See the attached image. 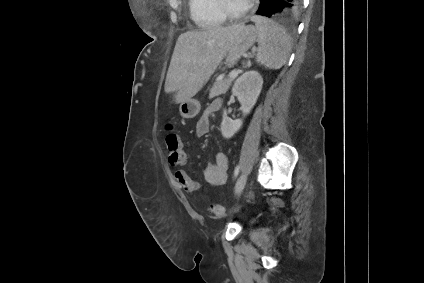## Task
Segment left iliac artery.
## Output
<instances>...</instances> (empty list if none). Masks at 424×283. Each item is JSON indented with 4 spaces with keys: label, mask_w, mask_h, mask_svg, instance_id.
I'll return each mask as SVG.
<instances>
[{
    "label": "left iliac artery",
    "mask_w": 424,
    "mask_h": 283,
    "mask_svg": "<svg viewBox=\"0 0 424 283\" xmlns=\"http://www.w3.org/2000/svg\"><path fill=\"white\" fill-rule=\"evenodd\" d=\"M239 170H240V167H239V165H237V166L235 167V170H234V176H235V177H237V175L239 174Z\"/></svg>",
    "instance_id": "left-iliac-artery-1"
}]
</instances>
